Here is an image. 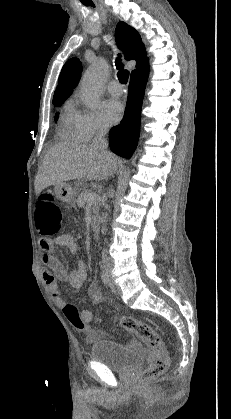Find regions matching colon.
I'll return each mask as SVG.
<instances>
[{
	"label": "colon",
	"mask_w": 231,
	"mask_h": 419,
	"mask_svg": "<svg viewBox=\"0 0 231 419\" xmlns=\"http://www.w3.org/2000/svg\"><path fill=\"white\" fill-rule=\"evenodd\" d=\"M62 211L52 194L43 193L37 200L35 214L36 228L45 237L55 235L62 225ZM64 315L72 326L85 332L89 338L94 336L84 320V316L73 304H66L63 308ZM114 321L124 330L135 334L143 341L152 353L150 365L142 373L139 383L142 387L150 385L157 376L163 374L168 367L169 357L164 348L162 338L149 324L139 321L128 315L116 316Z\"/></svg>",
	"instance_id": "1"
}]
</instances>
